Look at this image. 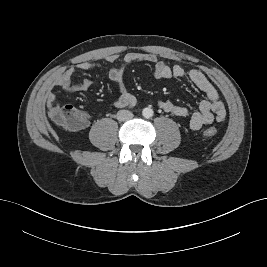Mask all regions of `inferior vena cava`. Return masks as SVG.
Returning a JSON list of instances; mask_svg holds the SVG:
<instances>
[{"instance_id": "1", "label": "inferior vena cava", "mask_w": 267, "mask_h": 267, "mask_svg": "<svg viewBox=\"0 0 267 267\" xmlns=\"http://www.w3.org/2000/svg\"><path fill=\"white\" fill-rule=\"evenodd\" d=\"M133 118L132 112L128 110H120L117 113V119L118 121H128Z\"/></svg>"}]
</instances>
